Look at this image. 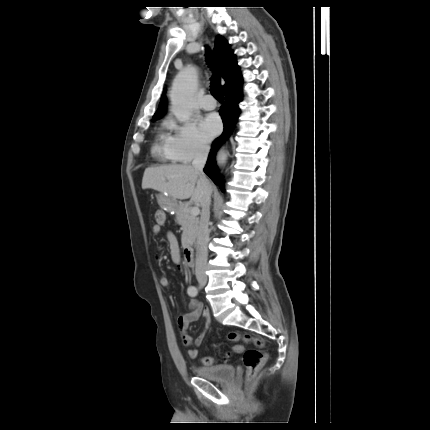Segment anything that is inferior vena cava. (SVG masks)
<instances>
[{"label":"inferior vena cava","mask_w":430,"mask_h":430,"mask_svg":"<svg viewBox=\"0 0 430 430\" xmlns=\"http://www.w3.org/2000/svg\"><path fill=\"white\" fill-rule=\"evenodd\" d=\"M209 153V147H201L195 154L192 166L199 175V180L207 186L209 180L206 178L203 168L206 164ZM211 191L206 190L201 202V216L197 232V255L195 273L197 278H206V268L208 259L207 244L209 240L208 223L210 218Z\"/></svg>","instance_id":"inferior-vena-cava-1"}]
</instances>
